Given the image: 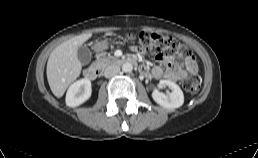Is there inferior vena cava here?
I'll use <instances>...</instances> for the list:
<instances>
[{"mask_svg": "<svg viewBox=\"0 0 258 158\" xmlns=\"http://www.w3.org/2000/svg\"><path fill=\"white\" fill-rule=\"evenodd\" d=\"M119 71H120V67L118 65H110L105 69L104 76L106 78H110L116 75L117 73H119Z\"/></svg>", "mask_w": 258, "mask_h": 158, "instance_id": "inferior-vena-cava-1", "label": "inferior vena cava"}]
</instances>
